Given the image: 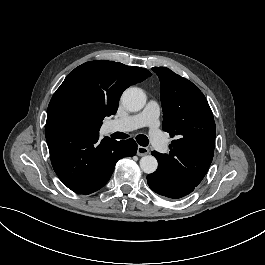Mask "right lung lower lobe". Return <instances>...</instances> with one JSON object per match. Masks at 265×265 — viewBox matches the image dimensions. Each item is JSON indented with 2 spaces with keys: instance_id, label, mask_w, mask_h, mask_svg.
I'll use <instances>...</instances> for the list:
<instances>
[{
  "instance_id": "right-lung-lower-lobe-1",
  "label": "right lung lower lobe",
  "mask_w": 265,
  "mask_h": 265,
  "mask_svg": "<svg viewBox=\"0 0 265 265\" xmlns=\"http://www.w3.org/2000/svg\"><path fill=\"white\" fill-rule=\"evenodd\" d=\"M45 136L52 166L57 176L72 191L90 194L110 179L116 162L137 151L133 139L116 141L98 133L65 127H46Z\"/></svg>"
}]
</instances>
